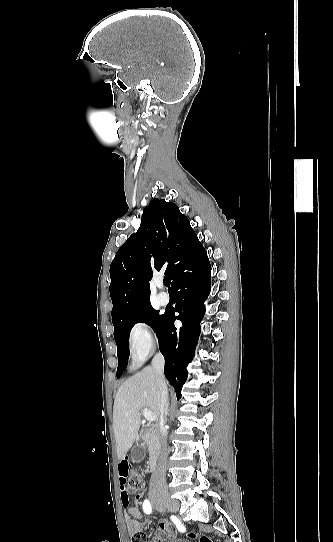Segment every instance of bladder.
Segmentation results:
<instances>
[{
	"instance_id": "1",
	"label": "bladder",
	"mask_w": 333,
	"mask_h": 542,
	"mask_svg": "<svg viewBox=\"0 0 333 542\" xmlns=\"http://www.w3.org/2000/svg\"><path fill=\"white\" fill-rule=\"evenodd\" d=\"M170 542H193V541L191 539L175 538V539L171 540Z\"/></svg>"
}]
</instances>
